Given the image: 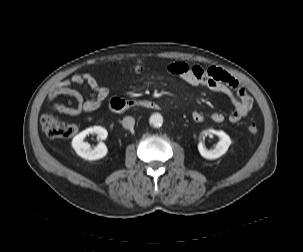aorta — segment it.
Returning <instances> with one entry per match:
<instances>
[{
	"instance_id": "aorta-1",
	"label": "aorta",
	"mask_w": 303,
	"mask_h": 252,
	"mask_svg": "<svg viewBox=\"0 0 303 252\" xmlns=\"http://www.w3.org/2000/svg\"><path fill=\"white\" fill-rule=\"evenodd\" d=\"M163 123L162 115L155 113L150 117V124L154 127H160Z\"/></svg>"
}]
</instances>
